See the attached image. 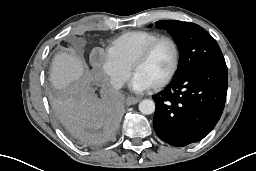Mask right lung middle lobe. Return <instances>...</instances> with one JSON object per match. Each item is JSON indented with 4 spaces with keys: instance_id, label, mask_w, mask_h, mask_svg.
<instances>
[{
    "instance_id": "obj_1",
    "label": "right lung middle lobe",
    "mask_w": 256,
    "mask_h": 171,
    "mask_svg": "<svg viewBox=\"0 0 256 171\" xmlns=\"http://www.w3.org/2000/svg\"><path fill=\"white\" fill-rule=\"evenodd\" d=\"M73 96H75V93H73V91H70V92L68 93L66 99H64V101H62V103H61V101H60V103H56V106L61 105V104L65 103V102H67V101H68L70 98H72Z\"/></svg>"
}]
</instances>
